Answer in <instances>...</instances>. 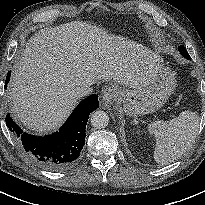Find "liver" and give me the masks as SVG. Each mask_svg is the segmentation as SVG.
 Instances as JSON below:
<instances>
[{
	"mask_svg": "<svg viewBox=\"0 0 205 205\" xmlns=\"http://www.w3.org/2000/svg\"><path fill=\"white\" fill-rule=\"evenodd\" d=\"M161 61L148 49L89 22L41 29L14 63L8 88L11 111L27 129L47 133L76 106V86L113 80L141 89L151 83Z\"/></svg>",
	"mask_w": 205,
	"mask_h": 205,
	"instance_id": "1",
	"label": "liver"
}]
</instances>
